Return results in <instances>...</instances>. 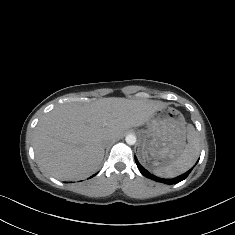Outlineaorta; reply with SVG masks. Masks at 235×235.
<instances>
[{
    "instance_id": "762f6f07",
    "label": "aorta",
    "mask_w": 235,
    "mask_h": 235,
    "mask_svg": "<svg viewBox=\"0 0 235 235\" xmlns=\"http://www.w3.org/2000/svg\"><path fill=\"white\" fill-rule=\"evenodd\" d=\"M126 143L129 144V145H134L136 143V136L135 135H127L126 138Z\"/></svg>"
}]
</instances>
